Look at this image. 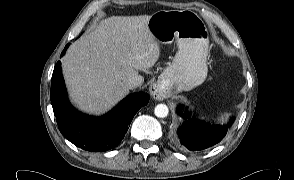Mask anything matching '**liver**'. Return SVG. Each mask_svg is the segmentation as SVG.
Instances as JSON below:
<instances>
[{"instance_id": "obj_1", "label": "liver", "mask_w": 294, "mask_h": 180, "mask_svg": "<svg viewBox=\"0 0 294 180\" xmlns=\"http://www.w3.org/2000/svg\"><path fill=\"white\" fill-rule=\"evenodd\" d=\"M150 17H108L72 43L62 70L77 107L106 112L129 93V78L157 62L160 48L147 27Z\"/></svg>"}]
</instances>
